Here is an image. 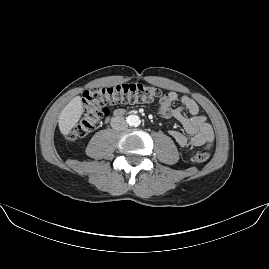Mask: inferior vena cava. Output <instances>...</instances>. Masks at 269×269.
I'll list each match as a JSON object with an SVG mask.
<instances>
[{
    "label": "inferior vena cava",
    "instance_id": "1",
    "mask_svg": "<svg viewBox=\"0 0 269 269\" xmlns=\"http://www.w3.org/2000/svg\"><path fill=\"white\" fill-rule=\"evenodd\" d=\"M110 124H111V127L114 130H118V131L126 130L128 128V124L125 121L124 117H122V116H115V117H113L111 119Z\"/></svg>",
    "mask_w": 269,
    "mask_h": 269
}]
</instances>
